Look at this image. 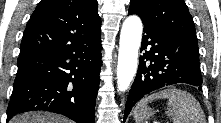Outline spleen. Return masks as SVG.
<instances>
[{
  "instance_id": "obj_1",
  "label": "spleen",
  "mask_w": 221,
  "mask_h": 123,
  "mask_svg": "<svg viewBox=\"0 0 221 123\" xmlns=\"http://www.w3.org/2000/svg\"><path fill=\"white\" fill-rule=\"evenodd\" d=\"M156 99H167V115L173 123H206L205 114L200 103L190 93L176 88L161 90L143 98L134 110L136 123L143 122L142 114L148 108V103Z\"/></svg>"
}]
</instances>
